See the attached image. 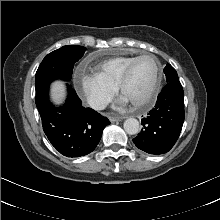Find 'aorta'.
Returning <instances> with one entry per match:
<instances>
[{"label":"aorta","mask_w":220,"mask_h":220,"mask_svg":"<svg viewBox=\"0 0 220 220\" xmlns=\"http://www.w3.org/2000/svg\"><path fill=\"white\" fill-rule=\"evenodd\" d=\"M124 130L129 135H134L139 132V121L135 118H128L123 124Z\"/></svg>","instance_id":"obj_1"}]
</instances>
